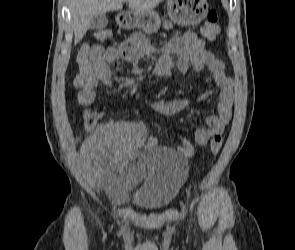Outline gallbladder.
I'll list each match as a JSON object with an SVG mask.
<instances>
[{"mask_svg": "<svg viewBox=\"0 0 295 250\" xmlns=\"http://www.w3.org/2000/svg\"><path fill=\"white\" fill-rule=\"evenodd\" d=\"M108 24V18L105 14L95 15L90 22L92 30H103Z\"/></svg>", "mask_w": 295, "mask_h": 250, "instance_id": "1", "label": "gallbladder"}]
</instances>
